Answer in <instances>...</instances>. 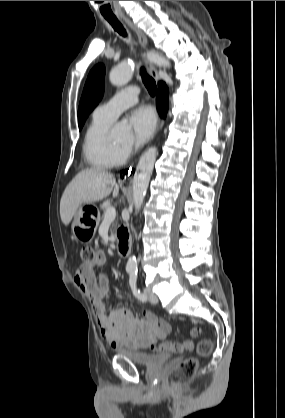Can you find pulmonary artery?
Returning a JSON list of instances; mask_svg holds the SVG:
<instances>
[{"label":"pulmonary artery","mask_w":285,"mask_h":418,"mask_svg":"<svg viewBox=\"0 0 285 418\" xmlns=\"http://www.w3.org/2000/svg\"><path fill=\"white\" fill-rule=\"evenodd\" d=\"M138 102L137 86H130L118 93L110 101L100 105L94 111V116L109 122H113L124 109Z\"/></svg>","instance_id":"e3ab8cb5"}]
</instances>
